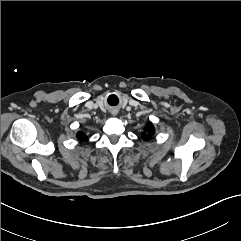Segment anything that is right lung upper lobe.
<instances>
[{"mask_svg": "<svg viewBox=\"0 0 241 241\" xmlns=\"http://www.w3.org/2000/svg\"><path fill=\"white\" fill-rule=\"evenodd\" d=\"M77 137H78V139L81 140V141H85L86 138H87V136H86L83 132H78V133H77Z\"/></svg>", "mask_w": 241, "mask_h": 241, "instance_id": "right-lung-upper-lobe-1", "label": "right lung upper lobe"}]
</instances>
